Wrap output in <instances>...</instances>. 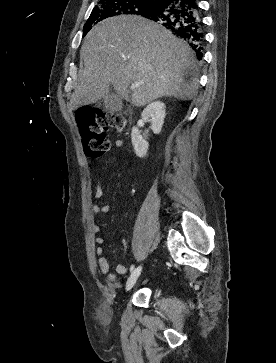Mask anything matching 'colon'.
Returning a JSON list of instances; mask_svg holds the SVG:
<instances>
[{"instance_id":"1","label":"colon","mask_w":276,"mask_h":363,"mask_svg":"<svg viewBox=\"0 0 276 363\" xmlns=\"http://www.w3.org/2000/svg\"><path fill=\"white\" fill-rule=\"evenodd\" d=\"M76 121L85 153L92 158L102 156L109 149L107 132L121 130L125 124L124 117L119 114L89 108L78 111Z\"/></svg>"}]
</instances>
